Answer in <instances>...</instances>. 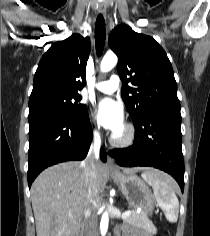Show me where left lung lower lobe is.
<instances>
[{"instance_id":"obj_1","label":"left lung lower lobe","mask_w":210,"mask_h":236,"mask_svg":"<svg viewBox=\"0 0 210 236\" xmlns=\"http://www.w3.org/2000/svg\"><path fill=\"white\" fill-rule=\"evenodd\" d=\"M134 127L133 145L114 149L109 154L120 166H151L169 173L183 192L184 160L180 112L150 111L134 121Z\"/></svg>"}]
</instances>
